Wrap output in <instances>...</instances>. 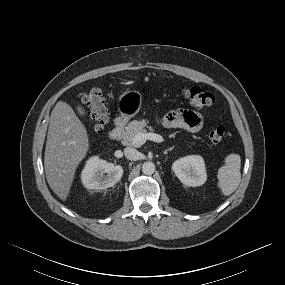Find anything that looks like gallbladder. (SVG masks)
I'll return each instance as SVG.
<instances>
[{"label":"gallbladder","instance_id":"1","mask_svg":"<svg viewBox=\"0 0 285 285\" xmlns=\"http://www.w3.org/2000/svg\"><path fill=\"white\" fill-rule=\"evenodd\" d=\"M76 110H77V113H78L80 116H85V115H86V110L84 109L83 106L77 105V106H76Z\"/></svg>","mask_w":285,"mask_h":285}]
</instances>
